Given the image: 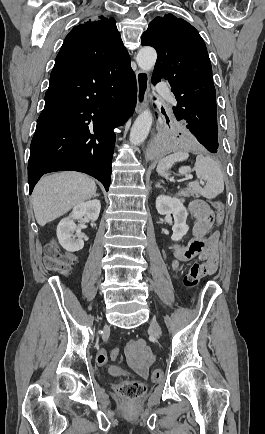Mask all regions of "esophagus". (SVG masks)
<instances>
[{"label": "esophagus", "mask_w": 265, "mask_h": 434, "mask_svg": "<svg viewBox=\"0 0 265 434\" xmlns=\"http://www.w3.org/2000/svg\"><path fill=\"white\" fill-rule=\"evenodd\" d=\"M137 82V102L136 112L140 113L148 105V93H149V74L145 71H136ZM154 129L152 130V132Z\"/></svg>", "instance_id": "esophagus-1"}]
</instances>
